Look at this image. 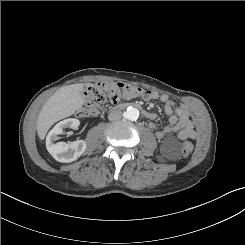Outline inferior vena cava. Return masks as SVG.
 Instances as JSON below:
<instances>
[{"mask_svg": "<svg viewBox=\"0 0 245 245\" xmlns=\"http://www.w3.org/2000/svg\"><path fill=\"white\" fill-rule=\"evenodd\" d=\"M122 117V112L119 109H114L108 114L110 121L119 120Z\"/></svg>", "mask_w": 245, "mask_h": 245, "instance_id": "obj_1", "label": "inferior vena cava"}]
</instances>
